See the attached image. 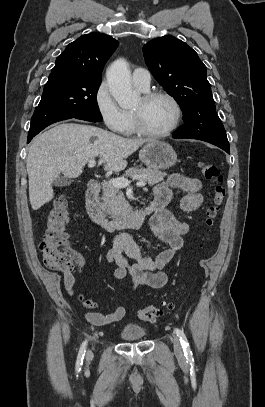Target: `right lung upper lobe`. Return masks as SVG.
Masks as SVG:
<instances>
[{"label":"right lung upper lobe","mask_w":265,"mask_h":407,"mask_svg":"<svg viewBox=\"0 0 265 407\" xmlns=\"http://www.w3.org/2000/svg\"><path fill=\"white\" fill-rule=\"evenodd\" d=\"M118 44L117 40L106 34L94 32L82 35L68 44L57 57L50 76L67 74L101 80L104 65Z\"/></svg>","instance_id":"1"}]
</instances>
